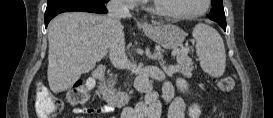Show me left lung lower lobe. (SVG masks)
<instances>
[{"label":"left lung lower lobe","instance_id":"1","mask_svg":"<svg viewBox=\"0 0 273 118\" xmlns=\"http://www.w3.org/2000/svg\"><path fill=\"white\" fill-rule=\"evenodd\" d=\"M219 25H220L224 30H226V23H219Z\"/></svg>","mask_w":273,"mask_h":118}]
</instances>
